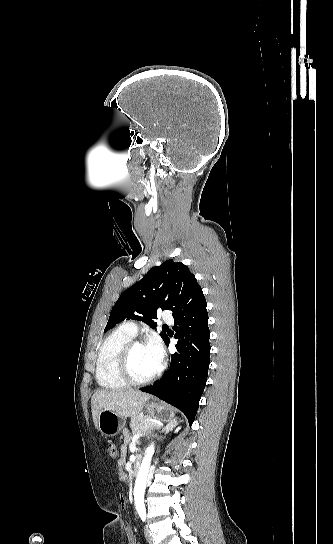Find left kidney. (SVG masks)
<instances>
[{
    "mask_svg": "<svg viewBox=\"0 0 333 544\" xmlns=\"http://www.w3.org/2000/svg\"><path fill=\"white\" fill-rule=\"evenodd\" d=\"M179 429H180V427H178V428H177V429L175 430V432H178V431H179Z\"/></svg>",
    "mask_w": 333,
    "mask_h": 544,
    "instance_id": "5707ae66",
    "label": "left kidney"
}]
</instances>
